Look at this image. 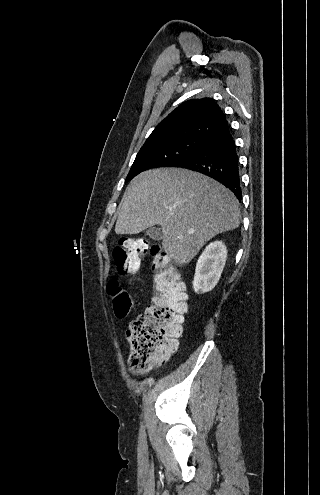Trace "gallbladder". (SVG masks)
Masks as SVG:
<instances>
[{
	"mask_svg": "<svg viewBox=\"0 0 320 495\" xmlns=\"http://www.w3.org/2000/svg\"><path fill=\"white\" fill-rule=\"evenodd\" d=\"M146 235L153 240H160L162 238V230L157 227H150L146 230Z\"/></svg>",
	"mask_w": 320,
	"mask_h": 495,
	"instance_id": "gallbladder-1",
	"label": "gallbladder"
}]
</instances>
